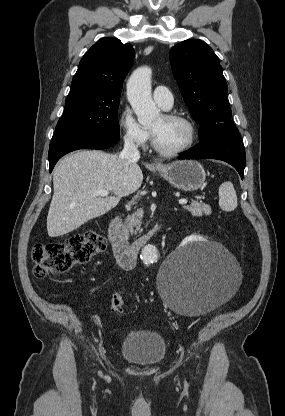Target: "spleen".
<instances>
[{
	"mask_svg": "<svg viewBox=\"0 0 285 416\" xmlns=\"http://www.w3.org/2000/svg\"><path fill=\"white\" fill-rule=\"evenodd\" d=\"M219 206L224 212H233L237 208V196L231 182H224L219 188Z\"/></svg>",
	"mask_w": 285,
	"mask_h": 416,
	"instance_id": "spleen-1",
	"label": "spleen"
}]
</instances>
